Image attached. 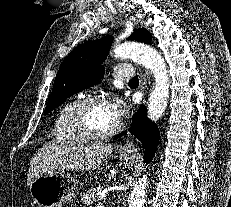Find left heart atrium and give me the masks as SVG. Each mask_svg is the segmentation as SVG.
<instances>
[{
  "mask_svg": "<svg viewBox=\"0 0 231 207\" xmlns=\"http://www.w3.org/2000/svg\"><path fill=\"white\" fill-rule=\"evenodd\" d=\"M106 104L115 120H118L123 116L125 111V104L122 99L113 97Z\"/></svg>",
  "mask_w": 231,
  "mask_h": 207,
  "instance_id": "left-heart-atrium-1",
  "label": "left heart atrium"
}]
</instances>
